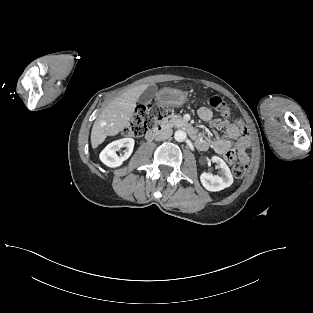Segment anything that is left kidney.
Here are the masks:
<instances>
[{"instance_id":"1","label":"left kidney","mask_w":313,"mask_h":313,"mask_svg":"<svg viewBox=\"0 0 313 313\" xmlns=\"http://www.w3.org/2000/svg\"><path fill=\"white\" fill-rule=\"evenodd\" d=\"M211 160L221 168V173L219 176L203 172L200 175V181L204 188L208 191L216 192L231 186L233 176L228 165L218 156H213Z\"/></svg>"}]
</instances>
